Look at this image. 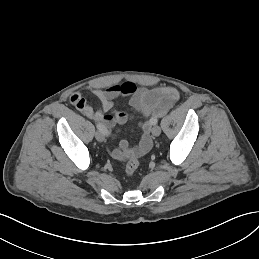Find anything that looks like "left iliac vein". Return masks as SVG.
Wrapping results in <instances>:
<instances>
[{"label":"left iliac vein","instance_id":"1","mask_svg":"<svg viewBox=\"0 0 259 259\" xmlns=\"http://www.w3.org/2000/svg\"><path fill=\"white\" fill-rule=\"evenodd\" d=\"M161 133V128L159 126H154L153 129H152V134L154 136H159Z\"/></svg>","mask_w":259,"mask_h":259}]
</instances>
